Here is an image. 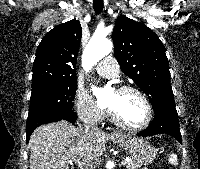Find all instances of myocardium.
Masks as SVG:
<instances>
[{
  "instance_id": "f54148a6",
  "label": "myocardium",
  "mask_w": 200,
  "mask_h": 169,
  "mask_svg": "<svg viewBox=\"0 0 200 169\" xmlns=\"http://www.w3.org/2000/svg\"><path fill=\"white\" fill-rule=\"evenodd\" d=\"M116 91L119 92V93L134 92L137 95H139L141 97V99L145 103L146 110H147V116H146L145 121L141 125H139V126H130V125L124 123L119 118L117 112L113 108L108 106V112H109V115H110V118H111L112 122L114 124H116L117 126L123 128L125 130L132 131V132L142 131L145 128H147L150 125V123H151V121L153 119V108H152V104H151L148 96L140 88H138L136 86H133V85H122V86H119L116 89Z\"/></svg>"
}]
</instances>
